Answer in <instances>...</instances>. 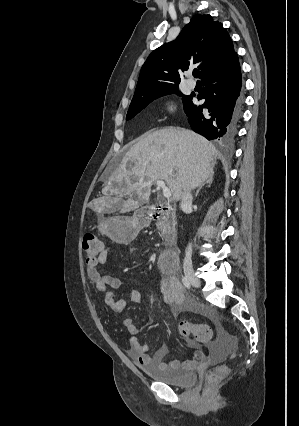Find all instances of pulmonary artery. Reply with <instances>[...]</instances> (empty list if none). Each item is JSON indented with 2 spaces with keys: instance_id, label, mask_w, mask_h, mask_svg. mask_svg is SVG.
I'll list each match as a JSON object with an SVG mask.
<instances>
[{
  "instance_id": "obj_1",
  "label": "pulmonary artery",
  "mask_w": 299,
  "mask_h": 426,
  "mask_svg": "<svg viewBox=\"0 0 299 426\" xmlns=\"http://www.w3.org/2000/svg\"><path fill=\"white\" fill-rule=\"evenodd\" d=\"M187 84L190 88H195V86H196V82L193 79H189L187 81Z\"/></svg>"
}]
</instances>
